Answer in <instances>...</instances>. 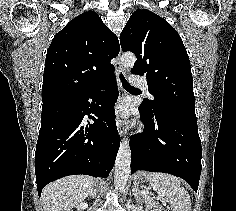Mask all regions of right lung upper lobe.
Returning a JSON list of instances; mask_svg holds the SVG:
<instances>
[{"label":"right lung upper lobe","mask_w":236,"mask_h":211,"mask_svg":"<svg viewBox=\"0 0 236 211\" xmlns=\"http://www.w3.org/2000/svg\"><path fill=\"white\" fill-rule=\"evenodd\" d=\"M119 53L117 36L94 11L71 20L48 48L42 101L78 96L104 84L113 74L110 60Z\"/></svg>","instance_id":"obj_1"}]
</instances>
